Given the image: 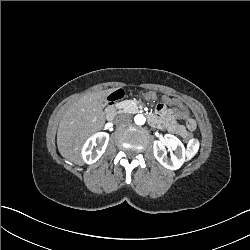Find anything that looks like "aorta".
I'll return each mask as SVG.
<instances>
[{
  "label": "aorta",
  "mask_w": 250,
  "mask_h": 250,
  "mask_svg": "<svg viewBox=\"0 0 250 250\" xmlns=\"http://www.w3.org/2000/svg\"><path fill=\"white\" fill-rule=\"evenodd\" d=\"M134 121L137 125H143L146 122V117L143 114H137L134 117Z\"/></svg>",
  "instance_id": "obj_1"
}]
</instances>
